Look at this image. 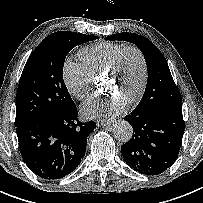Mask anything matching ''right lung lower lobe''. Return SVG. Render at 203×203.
I'll list each match as a JSON object with an SVG mask.
<instances>
[{"label":"right lung lower lobe","mask_w":203,"mask_h":203,"mask_svg":"<svg viewBox=\"0 0 203 203\" xmlns=\"http://www.w3.org/2000/svg\"><path fill=\"white\" fill-rule=\"evenodd\" d=\"M77 115L74 105L16 128L22 158L33 173L54 180L78 167L86 152L87 136L96 123H81Z\"/></svg>","instance_id":"obj_1"}]
</instances>
